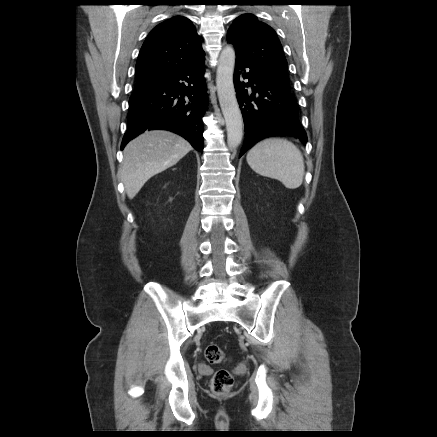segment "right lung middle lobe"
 <instances>
[{"label":"right lung middle lobe","mask_w":437,"mask_h":437,"mask_svg":"<svg viewBox=\"0 0 437 437\" xmlns=\"http://www.w3.org/2000/svg\"><path fill=\"white\" fill-rule=\"evenodd\" d=\"M153 82H138L135 84V88L134 91H138L141 90L145 87H148L149 85H151Z\"/></svg>","instance_id":"obj_1"}]
</instances>
